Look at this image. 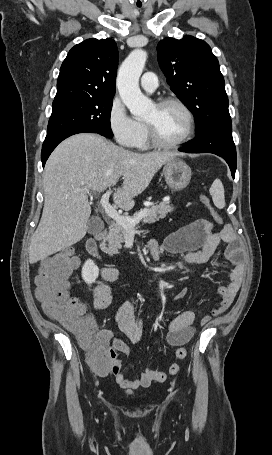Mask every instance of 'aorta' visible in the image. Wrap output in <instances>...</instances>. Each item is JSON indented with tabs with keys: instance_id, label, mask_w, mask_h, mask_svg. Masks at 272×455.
Masks as SVG:
<instances>
[{
	"instance_id": "1",
	"label": "aorta",
	"mask_w": 272,
	"mask_h": 455,
	"mask_svg": "<svg viewBox=\"0 0 272 455\" xmlns=\"http://www.w3.org/2000/svg\"><path fill=\"white\" fill-rule=\"evenodd\" d=\"M146 60V51L133 50L120 66L116 82L123 103L138 119L146 117L154 107L153 102L139 88V78Z\"/></svg>"
}]
</instances>
